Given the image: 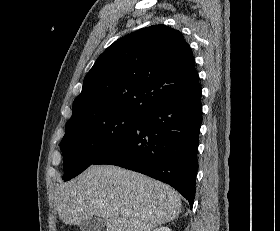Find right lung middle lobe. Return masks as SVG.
<instances>
[{"instance_id": "1", "label": "right lung middle lobe", "mask_w": 280, "mask_h": 231, "mask_svg": "<svg viewBox=\"0 0 280 231\" xmlns=\"http://www.w3.org/2000/svg\"><path fill=\"white\" fill-rule=\"evenodd\" d=\"M141 117L117 114L70 119L60 145L64 158L63 180L74 178L106 154L137 127Z\"/></svg>"}]
</instances>
